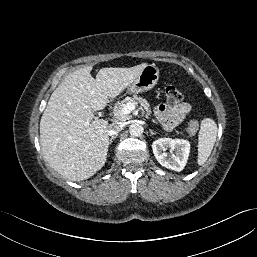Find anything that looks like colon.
Listing matches in <instances>:
<instances>
[{"label":"colon","instance_id":"obj_1","mask_svg":"<svg viewBox=\"0 0 257 257\" xmlns=\"http://www.w3.org/2000/svg\"><path fill=\"white\" fill-rule=\"evenodd\" d=\"M165 96H166L167 100L171 103H178V102H181L183 99L182 92L180 91V89H178L174 85H168L165 88ZM189 127L196 128L197 123L195 121H190Z\"/></svg>","mask_w":257,"mask_h":257}]
</instances>
